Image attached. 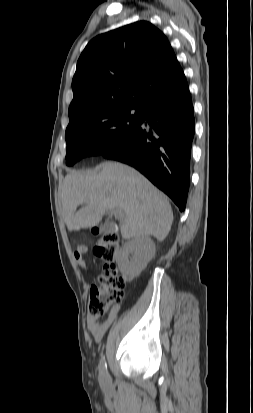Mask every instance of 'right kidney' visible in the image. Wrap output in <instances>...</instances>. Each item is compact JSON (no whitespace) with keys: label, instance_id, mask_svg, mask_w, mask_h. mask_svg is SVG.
<instances>
[{"label":"right kidney","instance_id":"right-kidney-1","mask_svg":"<svg viewBox=\"0 0 253 413\" xmlns=\"http://www.w3.org/2000/svg\"><path fill=\"white\" fill-rule=\"evenodd\" d=\"M155 255V244L149 236L126 242L116 256L122 276L131 281L137 277Z\"/></svg>","mask_w":253,"mask_h":413}]
</instances>
